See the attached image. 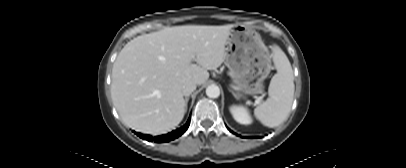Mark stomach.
Returning <instances> with one entry per match:
<instances>
[{
  "label": "stomach",
  "mask_w": 406,
  "mask_h": 168,
  "mask_svg": "<svg viewBox=\"0 0 406 168\" xmlns=\"http://www.w3.org/2000/svg\"><path fill=\"white\" fill-rule=\"evenodd\" d=\"M226 64L231 72L237 98L262 93L269 75L271 55L255 30L236 24L227 38Z\"/></svg>",
  "instance_id": "stomach-1"
}]
</instances>
